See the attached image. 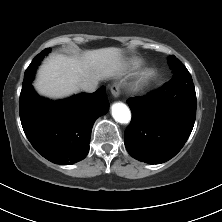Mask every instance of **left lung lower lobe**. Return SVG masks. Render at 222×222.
<instances>
[{
    "instance_id": "0a47b994",
    "label": "left lung lower lobe",
    "mask_w": 222,
    "mask_h": 222,
    "mask_svg": "<svg viewBox=\"0 0 222 222\" xmlns=\"http://www.w3.org/2000/svg\"><path fill=\"white\" fill-rule=\"evenodd\" d=\"M162 90L145 97L129 98L132 121L125 130L129 154L142 162L159 164L170 160L184 146L196 118V93L190 73L174 76Z\"/></svg>"
}]
</instances>
